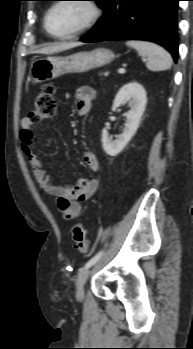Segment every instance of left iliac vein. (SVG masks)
Masks as SVG:
<instances>
[{"mask_svg":"<svg viewBox=\"0 0 193 349\" xmlns=\"http://www.w3.org/2000/svg\"><path fill=\"white\" fill-rule=\"evenodd\" d=\"M90 274V269H82L77 277L76 281V297L78 300H82L84 297V285Z\"/></svg>","mask_w":193,"mask_h":349,"instance_id":"4c4485c4","label":"left iliac vein"}]
</instances>
